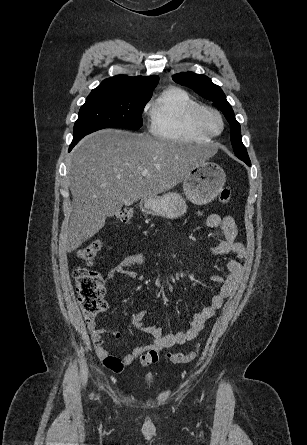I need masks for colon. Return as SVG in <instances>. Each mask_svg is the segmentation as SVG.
Segmentation results:
<instances>
[{
  "instance_id": "colon-1",
  "label": "colon",
  "mask_w": 307,
  "mask_h": 445,
  "mask_svg": "<svg viewBox=\"0 0 307 445\" xmlns=\"http://www.w3.org/2000/svg\"><path fill=\"white\" fill-rule=\"evenodd\" d=\"M231 189L225 187L221 190L219 201L226 204L231 200ZM131 218L130 212L124 211L117 214L116 219L121 223H127ZM102 247V242L98 239L87 243L78 252L79 258L91 265L97 253ZM76 291L79 296V303L87 321L94 319L99 313L105 310L106 303L103 299L104 281L102 276L85 267H76L73 271ZM200 344L190 352L169 353L168 359L173 363H189L196 358Z\"/></svg>"
}]
</instances>
